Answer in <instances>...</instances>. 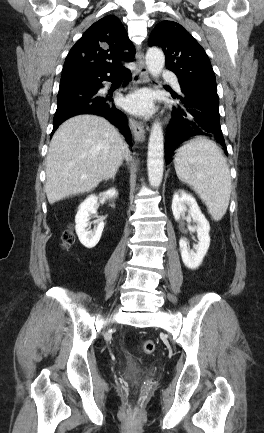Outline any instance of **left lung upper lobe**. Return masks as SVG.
<instances>
[{"label": "left lung upper lobe", "instance_id": "1", "mask_svg": "<svg viewBox=\"0 0 264 433\" xmlns=\"http://www.w3.org/2000/svg\"><path fill=\"white\" fill-rule=\"evenodd\" d=\"M150 46H159L166 55V66L184 87H206L217 91L215 74L204 49L173 21L157 24L149 37Z\"/></svg>", "mask_w": 264, "mask_h": 433}]
</instances>
